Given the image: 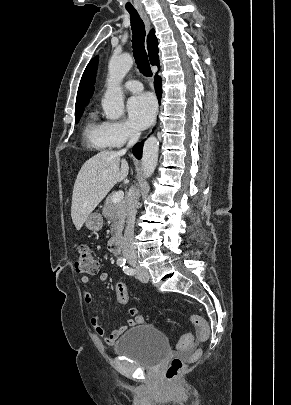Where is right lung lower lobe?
Masks as SVG:
<instances>
[{
    "instance_id": "98d812e1",
    "label": "right lung lower lobe",
    "mask_w": 291,
    "mask_h": 405,
    "mask_svg": "<svg viewBox=\"0 0 291 405\" xmlns=\"http://www.w3.org/2000/svg\"><path fill=\"white\" fill-rule=\"evenodd\" d=\"M155 91H156V95L158 100L161 99L162 96V84H161V78L156 74L155 76ZM142 143H137L134 147H133V154L137 159H140L142 156Z\"/></svg>"
}]
</instances>
